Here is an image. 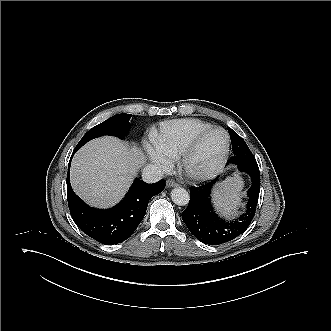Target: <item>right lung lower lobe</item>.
Here are the masks:
<instances>
[{
    "label": "right lung lower lobe",
    "instance_id": "obj_1",
    "mask_svg": "<svg viewBox=\"0 0 331 331\" xmlns=\"http://www.w3.org/2000/svg\"><path fill=\"white\" fill-rule=\"evenodd\" d=\"M78 149L75 148L72 156ZM70 162L67 174V199L71 216L85 234L102 244L112 245L128 239L144 218L149 200L165 188V180L148 184L136 178L117 206L108 210L92 208L72 190L69 178Z\"/></svg>",
    "mask_w": 331,
    "mask_h": 331
}]
</instances>
